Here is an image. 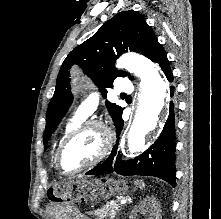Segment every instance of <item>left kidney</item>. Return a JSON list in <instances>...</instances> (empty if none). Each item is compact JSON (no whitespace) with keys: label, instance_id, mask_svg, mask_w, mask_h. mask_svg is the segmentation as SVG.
Returning <instances> with one entry per match:
<instances>
[{"label":"left kidney","instance_id":"5707ae66","mask_svg":"<svg viewBox=\"0 0 221 219\" xmlns=\"http://www.w3.org/2000/svg\"><path fill=\"white\" fill-rule=\"evenodd\" d=\"M139 214L147 215L149 219H161L159 203L153 196L145 198L133 210L131 219H137Z\"/></svg>","mask_w":221,"mask_h":219}]
</instances>
